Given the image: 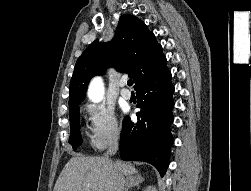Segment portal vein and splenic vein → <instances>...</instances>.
Listing matches in <instances>:
<instances>
[{"mask_svg":"<svg viewBox=\"0 0 251 191\" xmlns=\"http://www.w3.org/2000/svg\"><path fill=\"white\" fill-rule=\"evenodd\" d=\"M95 189H97V191H102V189H100V187H98V185H94Z\"/></svg>","mask_w":251,"mask_h":191,"instance_id":"portal-vein-and-splenic-vein-1","label":"portal vein and splenic vein"}]
</instances>
